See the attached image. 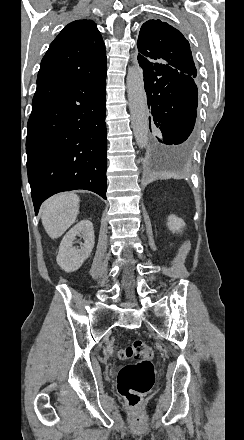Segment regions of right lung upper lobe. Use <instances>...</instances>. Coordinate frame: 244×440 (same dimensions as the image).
I'll use <instances>...</instances> for the list:
<instances>
[{"label":"right lung upper lobe","instance_id":"right-lung-upper-lobe-1","mask_svg":"<svg viewBox=\"0 0 244 440\" xmlns=\"http://www.w3.org/2000/svg\"><path fill=\"white\" fill-rule=\"evenodd\" d=\"M106 65L105 44L96 24L76 20L51 43L41 61L37 84Z\"/></svg>","mask_w":244,"mask_h":440}]
</instances>
